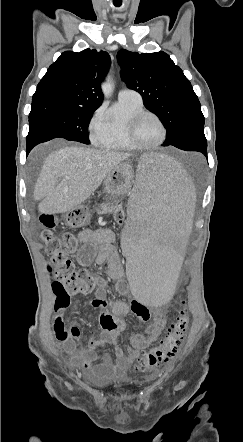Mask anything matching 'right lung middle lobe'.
Listing matches in <instances>:
<instances>
[{"mask_svg":"<svg viewBox=\"0 0 243 442\" xmlns=\"http://www.w3.org/2000/svg\"><path fill=\"white\" fill-rule=\"evenodd\" d=\"M95 110L62 97H37L32 99L29 126H42L61 132L67 140L90 144L88 125Z\"/></svg>","mask_w":243,"mask_h":442,"instance_id":"dd1d6c3e","label":"right lung middle lobe"}]
</instances>
